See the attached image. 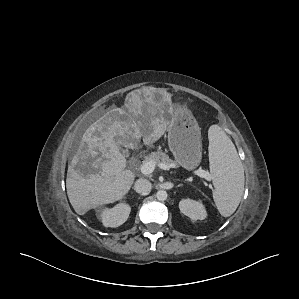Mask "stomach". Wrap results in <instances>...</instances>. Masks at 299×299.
Returning <instances> with one entry per match:
<instances>
[{
    "instance_id": "obj_1",
    "label": "stomach",
    "mask_w": 299,
    "mask_h": 299,
    "mask_svg": "<svg viewBox=\"0 0 299 299\" xmlns=\"http://www.w3.org/2000/svg\"><path fill=\"white\" fill-rule=\"evenodd\" d=\"M167 112L169 148L180 166L193 170L202 159L201 129L186 105H172Z\"/></svg>"
}]
</instances>
